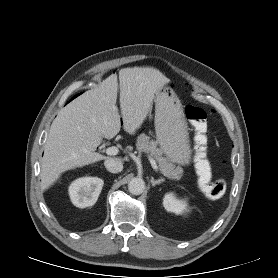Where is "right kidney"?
Masks as SVG:
<instances>
[{
	"label": "right kidney",
	"mask_w": 278,
	"mask_h": 278,
	"mask_svg": "<svg viewBox=\"0 0 278 278\" xmlns=\"http://www.w3.org/2000/svg\"><path fill=\"white\" fill-rule=\"evenodd\" d=\"M104 181L98 177H82L76 179L69 186L72 203L79 208L92 206L96 203Z\"/></svg>",
	"instance_id": "1"
}]
</instances>
